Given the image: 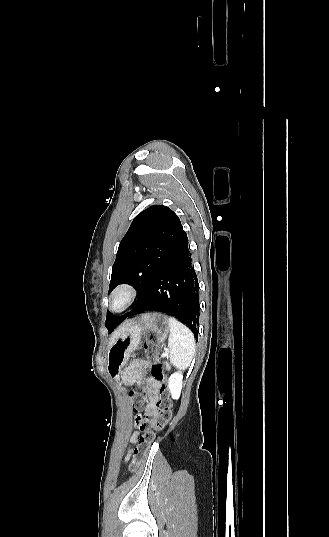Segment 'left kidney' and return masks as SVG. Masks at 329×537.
<instances>
[{
	"label": "left kidney",
	"mask_w": 329,
	"mask_h": 537,
	"mask_svg": "<svg viewBox=\"0 0 329 537\" xmlns=\"http://www.w3.org/2000/svg\"><path fill=\"white\" fill-rule=\"evenodd\" d=\"M183 375L181 372L173 373L169 377L168 387L173 399H179L182 390Z\"/></svg>",
	"instance_id": "5707ae66"
}]
</instances>
